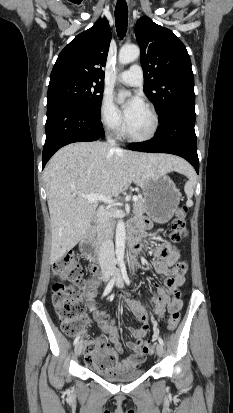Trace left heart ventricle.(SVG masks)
Returning <instances> with one entry per match:
<instances>
[{
  "mask_svg": "<svg viewBox=\"0 0 233 413\" xmlns=\"http://www.w3.org/2000/svg\"><path fill=\"white\" fill-rule=\"evenodd\" d=\"M128 130L135 136H143L149 133L152 127V119L143 106L136 115L127 123Z\"/></svg>",
  "mask_w": 233,
  "mask_h": 413,
  "instance_id": "left-heart-ventricle-1",
  "label": "left heart ventricle"
}]
</instances>
